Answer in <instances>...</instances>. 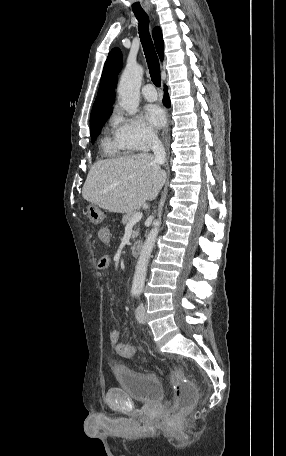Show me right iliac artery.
<instances>
[{
    "label": "right iliac artery",
    "instance_id": "obj_1",
    "mask_svg": "<svg viewBox=\"0 0 286 456\" xmlns=\"http://www.w3.org/2000/svg\"><path fill=\"white\" fill-rule=\"evenodd\" d=\"M137 294H138V291H136V290L132 291V296H136Z\"/></svg>",
    "mask_w": 286,
    "mask_h": 456
}]
</instances>
